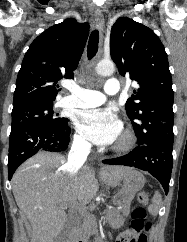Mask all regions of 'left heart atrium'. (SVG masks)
<instances>
[{
  "label": "left heart atrium",
  "instance_id": "left-heart-atrium-1",
  "mask_svg": "<svg viewBox=\"0 0 187 242\" xmlns=\"http://www.w3.org/2000/svg\"><path fill=\"white\" fill-rule=\"evenodd\" d=\"M77 124L80 132L97 145H110L117 141L122 124L108 108H95L79 113Z\"/></svg>",
  "mask_w": 187,
  "mask_h": 242
}]
</instances>
